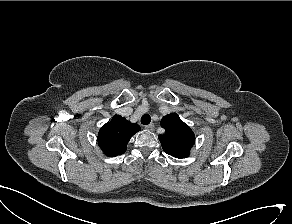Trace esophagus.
Returning a JSON list of instances; mask_svg holds the SVG:
<instances>
[{
    "label": "esophagus",
    "mask_w": 292,
    "mask_h": 224,
    "mask_svg": "<svg viewBox=\"0 0 292 224\" xmlns=\"http://www.w3.org/2000/svg\"><path fill=\"white\" fill-rule=\"evenodd\" d=\"M145 129L148 131H153L155 129V126L153 123H150L149 125L145 126Z\"/></svg>",
    "instance_id": "1"
}]
</instances>
